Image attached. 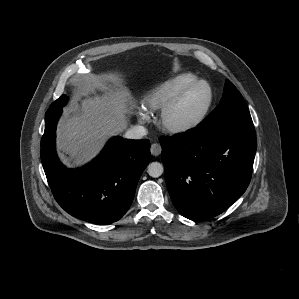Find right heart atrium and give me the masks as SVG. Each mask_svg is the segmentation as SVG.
I'll return each instance as SVG.
<instances>
[{
  "mask_svg": "<svg viewBox=\"0 0 299 299\" xmlns=\"http://www.w3.org/2000/svg\"><path fill=\"white\" fill-rule=\"evenodd\" d=\"M139 119L140 121L144 122V121H147L149 119V115L146 111H141L139 113Z\"/></svg>",
  "mask_w": 299,
  "mask_h": 299,
  "instance_id": "obj_1",
  "label": "right heart atrium"
}]
</instances>
